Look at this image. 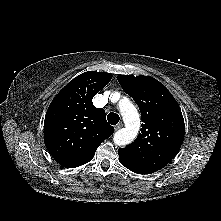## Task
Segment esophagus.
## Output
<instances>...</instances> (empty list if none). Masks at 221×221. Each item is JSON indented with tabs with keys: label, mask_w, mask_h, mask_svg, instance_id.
<instances>
[{
	"label": "esophagus",
	"mask_w": 221,
	"mask_h": 221,
	"mask_svg": "<svg viewBox=\"0 0 221 221\" xmlns=\"http://www.w3.org/2000/svg\"><path fill=\"white\" fill-rule=\"evenodd\" d=\"M122 127H123V123L120 122L115 126V130L117 131V130L121 129Z\"/></svg>",
	"instance_id": "1"
}]
</instances>
